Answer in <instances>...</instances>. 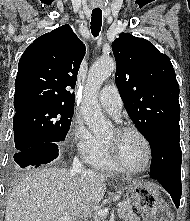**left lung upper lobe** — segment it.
I'll use <instances>...</instances> for the list:
<instances>
[{
	"label": "left lung upper lobe",
	"instance_id": "5c2ea615",
	"mask_svg": "<svg viewBox=\"0 0 190 221\" xmlns=\"http://www.w3.org/2000/svg\"><path fill=\"white\" fill-rule=\"evenodd\" d=\"M116 85L137 128L150 141L166 130H180L179 86L169 57L152 43L121 33L112 43Z\"/></svg>",
	"mask_w": 190,
	"mask_h": 221
}]
</instances>
